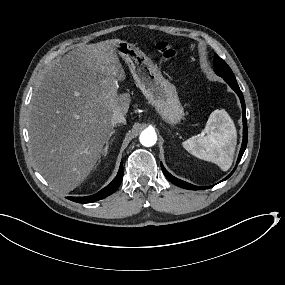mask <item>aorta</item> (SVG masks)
<instances>
[{
  "label": "aorta",
  "instance_id": "762f6f07",
  "mask_svg": "<svg viewBox=\"0 0 285 285\" xmlns=\"http://www.w3.org/2000/svg\"><path fill=\"white\" fill-rule=\"evenodd\" d=\"M157 141V135L154 129L146 128L140 134V143L145 147L153 146Z\"/></svg>",
  "mask_w": 285,
  "mask_h": 285
}]
</instances>
